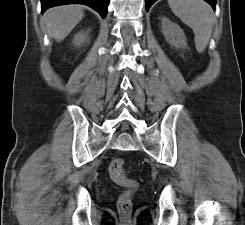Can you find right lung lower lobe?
<instances>
[{"mask_svg": "<svg viewBox=\"0 0 245 225\" xmlns=\"http://www.w3.org/2000/svg\"><path fill=\"white\" fill-rule=\"evenodd\" d=\"M85 4L100 13L105 18L108 10L109 0H41V10L44 12L46 9L63 4Z\"/></svg>", "mask_w": 245, "mask_h": 225, "instance_id": "right-lung-lower-lobe-1", "label": "right lung lower lobe"}]
</instances>
